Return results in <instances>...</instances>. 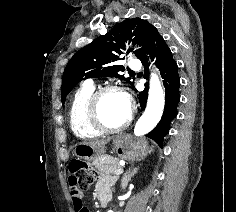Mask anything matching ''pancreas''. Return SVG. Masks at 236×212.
<instances>
[{
    "label": "pancreas",
    "instance_id": "obj_1",
    "mask_svg": "<svg viewBox=\"0 0 236 212\" xmlns=\"http://www.w3.org/2000/svg\"><path fill=\"white\" fill-rule=\"evenodd\" d=\"M93 165L101 174L105 175L113 174L116 170L122 168L119 164V159L111 156H108L103 162H101L100 159L94 160Z\"/></svg>",
    "mask_w": 236,
    "mask_h": 212
}]
</instances>
